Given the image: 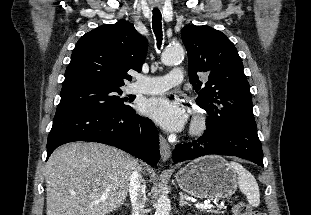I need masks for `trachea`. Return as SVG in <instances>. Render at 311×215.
Returning <instances> with one entry per match:
<instances>
[{
    "label": "trachea",
    "mask_w": 311,
    "mask_h": 215,
    "mask_svg": "<svg viewBox=\"0 0 311 215\" xmlns=\"http://www.w3.org/2000/svg\"><path fill=\"white\" fill-rule=\"evenodd\" d=\"M162 15L158 8L153 9L152 27L157 39V47H161L162 43Z\"/></svg>",
    "instance_id": "1"
}]
</instances>
